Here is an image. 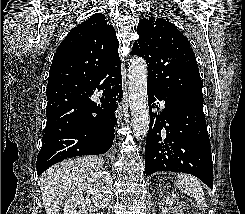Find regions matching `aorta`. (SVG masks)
<instances>
[{"instance_id":"aorta-1","label":"aorta","mask_w":245,"mask_h":214,"mask_svg":"<svg viewBox=\"0 0 245 214\" xmlns=\"http://www.w3.org/2000/svg\"><path fill=\"white\" fill-rule=\"evenodd\" d=\"M128 93L135 137L143 139L148 133L150 118L147 99V65L141 57L130 59Z\"/></svg>"}]
</instances>
